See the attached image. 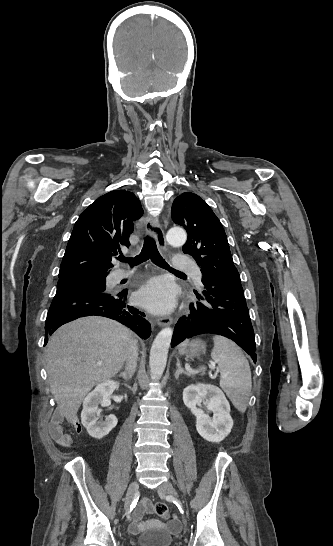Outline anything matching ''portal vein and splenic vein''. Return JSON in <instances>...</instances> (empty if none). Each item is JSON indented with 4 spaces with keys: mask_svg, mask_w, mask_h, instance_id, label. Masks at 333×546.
Here are the masks:
<instances>
[{
    "mask_svg": "<svg viewBox=\"0 0 333 546\" xmlns=\"http://www.w3.org/2000/svg\"><path fill=\"white\" fill-rule=\"evenodd\" d=\"M98 364H101V362H98ZM211 365H212V367H215V364L212 363Z\"/></svg>",
    "mask_w": 333,
    "mask_h": 546,
    "instance_id": "1",
    "label": "portal vein and splenic vein"
}]
</instances>
